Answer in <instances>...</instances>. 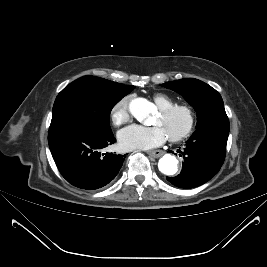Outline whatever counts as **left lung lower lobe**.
Listing matches in <instances>:
<instances>
[{
	"mask_svg": "<svg viewBox=\"0 0 267 267\" xmlns=\"http://www.w3.org/2000/svg\"><path fill=\"white\" fill-rule=\"evenodd\" d=\"M229 125H212L197 129L179 156H183L182 171L167 177L180 188H193L209 181L220 170L224 159Z\"/></svg>",
	"mask_w": 267,
	"mask_h": 267,
	"instance_id": "left-lung-lower-lobe-1",
	"label": "left lung lower lobe"
}]
</instances>
